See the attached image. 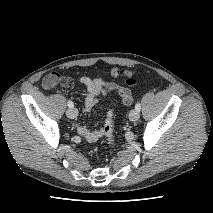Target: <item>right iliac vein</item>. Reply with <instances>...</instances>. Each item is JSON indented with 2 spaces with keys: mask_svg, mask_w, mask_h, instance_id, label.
<instances>
[{
  "mask_svg": "<svg viewBox=\"0 0 213 213\" xmlns=\"http://www.w3.org/2000/svg\"><path fill=\"white\" fill-rule=\"evenodd\" d=\"M66 115L67 117L71 118V119H74L77 117L78 115V111L75 109V108H69L67 111H66Z\"/></svg>",
  "mask_w": 213,
  "mask_h": 213,
  "instance_id": "obj_1",
  "label": "right iliac vein"
}]
</instances>
